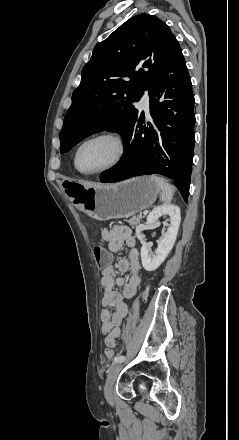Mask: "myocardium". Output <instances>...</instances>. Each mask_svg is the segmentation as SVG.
I'll return each mask as SVG.
<instances>
[{"label":"myocardium","mask_w":239,"mask_h":440,"mask_svg":"<svg viewBox=\"0 0 239 440\" xmlns=\"http://www.w3.org/2000/svg\"><path fill=\"white\" fill-rule=\"evenodd\" d=\"M101 138H107V139H110L114 142L116 149H117V153H116V156H115L113 162L110 165L106 166L105 168H102L97 171H93V172L82 171L79 167V155H80L81 149L88 142L96 140V139H101ZM126 150H127L126 142H125L124 138L119 133H117L115 131H111V130L99 131V132H96V133H93V134L87 136L85 139H83L80 142V144L78 145L76 152H75L74 164H75V167L78 170V172L83 175H86V176H97V175L106 174V173L116 169L121 164V162L123 161V159L125 157Z\"/></svg>","instance_id":"f54148a6"}]
</instances>
